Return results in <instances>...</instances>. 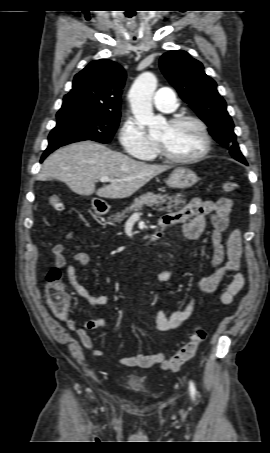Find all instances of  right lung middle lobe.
Wrapping results in <instances>:
<instances>
[{
	"instance_id": "right-lung-middle-lobe-1",
	"label": "right lung middle lobe",
	"mask_w": 270,
	"mask_h": 453,
	"mask_svg": "<svg viewBox=\"0 0 270 453\" xmlns=\"http://www.w3.org/2000/svg\"><path fill=\"white\" fill-rule=\"evenodd\" d=\"M120 115L79 112L57 117V125L51 131L49 146L93 140L108 143L119 124Z\"/></svg>"
}]
</instances>
